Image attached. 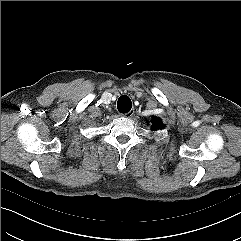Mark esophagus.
Masks as SVG:
<instances>
[{
	"instance_id": "esophagus-1",
	"label": "esophagus",
	"mask_w": 241,
	"mask_h": 241,
	"mask_svg": "<svg viewBox=\"0 0 241 241\" xmlns=\"http://www.w3.org/2000/svg\"><path fill=\"white\" fill-rule=\"evenodd\" d=\"M133 115H134V110H131L125 114H122V116L126 118H131Z\"/></svg>"
}]
</instances>
